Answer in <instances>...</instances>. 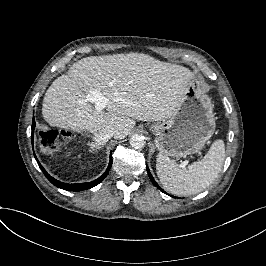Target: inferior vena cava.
<instances>
[{"label": "inferior vena cava", "mask_w": 266, "mask_h": 266, "mask_svg": "<svg viewBox=\"0 0 266 266\" xmlns=\"http://www.w3.org/2000/svg\"><path fill=\"white\" fill-rule=\"evenodd\" d=\"M93 140L98 145H104L108 142L109 139L113 137V133L109 130H99L92 132Z\"/></svg>", "instance_id": "obj_1"}]
</instances>
